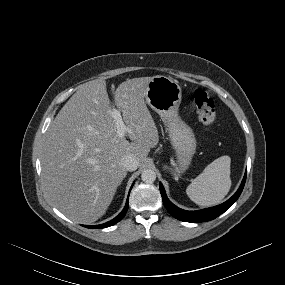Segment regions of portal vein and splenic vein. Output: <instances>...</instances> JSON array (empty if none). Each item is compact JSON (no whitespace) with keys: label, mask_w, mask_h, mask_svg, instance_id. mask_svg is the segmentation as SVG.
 <instances>
[{"label":"portal vein and splenic vein","mask_w":285,"mask_h":285,"mask_svg":"<svg viewBox=\"0 0 285 285\" xmlns=\"http://www.w3.org/2000/svg\"><path fill=\"white\" fill-rule=\"evenodd\" d=\"M109 114L113 117L116 128H117V136L119 138H123L126 132H129V128L124 124L121 112L118 109H112L109 111Z\"/></svg>","instance_id":"1"}]
</instances>
